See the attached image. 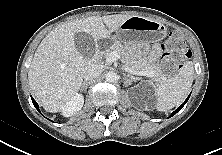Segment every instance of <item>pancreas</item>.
I'll return each instance as SVG.
<instances>
[{"label":"pancreas","mask_w":222,"mask_h":155,"mask_svg":"<svg viewBox=\"0 0 222 155\" xmlns=\"http://www.w3.org/2000/svg\"><path fill=\"white\" fill-rule=\"evenodd\" d=\"M113 51H116L123 58V62L129 69L133 71L151 70L155 72L157 78L164 77L159 64H150L146 58H136L134 46L124 47L119 42H115L109 49L103 52V55L107 57Z\"/></svg>","instance_id":"cf45deb5"}]
</instances>
